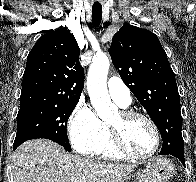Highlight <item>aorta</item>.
<instances>
[{
    "label": "aorta",
    "instance_id": "762f6f07",
    "mask_svg": "<svg viewBox=\"0 0 196 182\" xmlns=\"http://www.w3.org/2000/svg\"><path fill=\"white\" fill-rule=\"evenodd\" d=\"M110 62L107 55L101 53L93 57L87 76V89L98 117L103 121L110 119L117 112L107 90V74Z\"/></svg>",
    "mask_w": 196,
    "mask_h": 182
}]
</instances>
